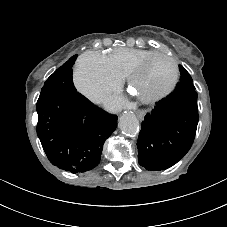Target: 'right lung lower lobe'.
Listing matches in <instances>:
<instances>
[{
    "label": "right lung lower lobe",
    "instance_id": "98d812e1",
    "mask_svg": "<svg viewBox=\"0 0 227 227\" xmlns=\"http://www.w3.org/2000/svg\"><path fill=\"white\" fill-rule=\"evenodd\" d=\"M36 110L37 135L53 165L82 173L99 164L103 143L117 127V116L72 90L41 92Z\"/></svg>",
    "mask_w": 227,
    "mask_h": 227
}]
</instances>
